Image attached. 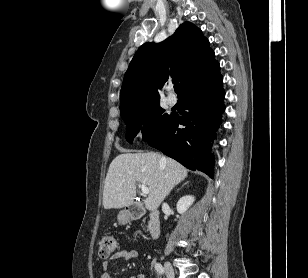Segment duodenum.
<instances>
[{
    "label": "duodenum",
    "mask_w": 308,
    "mask_h": 278,
    "mask_svg": "<svg viewBox=\"0 0 308 278\" xmlns=\"http://www.w3.org/2000/svg\"><path fill=\"white\" fill-rule=\"evenodd\" d=\"M143 210L137 207H132L129 211L128 217L130 219H138L143 215ZM149 215V222H148V230L149 234L153 239H156L159 237L161 232V221H160V215L158 210L152 209L148 213Z\"/></svg>",
    "instance_id": "410a0bca"
}]
</instances>
